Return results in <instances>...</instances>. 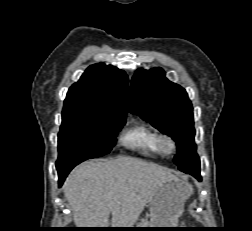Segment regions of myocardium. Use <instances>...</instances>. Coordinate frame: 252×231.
Wrapping results in <instances>:
<instances>
[{
    "label": "myocardium",
    "instance_id": "obj_1",
    "mask_svg": "<svg viewBox=\"0 0 252 231\" xmlns=\"http://www.w3.org/2000/svg\"><path fill=\"white\" fill-rule=\"evenodd\" d=\"M157 144L160 152L164 155L174 153L177 148L175 139L168 134H159Z\"/></svg>",
    "mask_w": 252,
    "mask_h": 231
}]
</instances>
